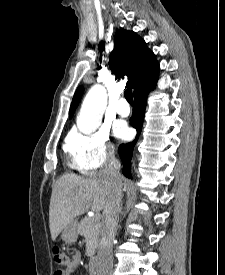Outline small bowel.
<instances>
[{"mask_svg": "<svg viewBox=\"0 0 225 275\" xmlns=\"http://www.w3.org/2000/svg\"><path fill=\"white\" fill-rule=\"evenodd\" d=\"M81 261V254L79 252H75L72 256V259L64 270L57 271L55 275H75L78 270L79 264Z\"/></svg>", "mask_w": 225, "mask_h": 275, "instance_id": "1", "label": "small bowel"}]
</instances>
